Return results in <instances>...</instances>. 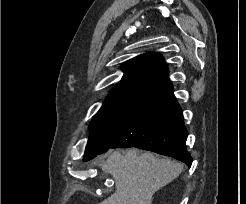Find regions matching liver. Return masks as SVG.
<instances>
[{
	"mask_svg": "<svg viewBox=\"0 0 246 204\" xmlns=\"http://www.w3.org/2000/svg\"><path fill=\"white\" fill-rule=\"evenodd\" d=\"M115 180V192L100 204H151L156 191L176 179L183 166L150 152L138 155L136 149L124 155L114 151L98 164Z\"/></svg>",
	"mask_w": 246,
	"mask_h": 204,
	"instance_id": "6515ba94",
	"label": "liver"
}]
</instances>
